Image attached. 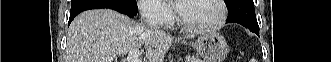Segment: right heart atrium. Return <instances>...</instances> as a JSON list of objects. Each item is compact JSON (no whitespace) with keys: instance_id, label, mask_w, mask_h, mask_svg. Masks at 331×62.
Wrapping results in <instances>:
<instances>
[{"instance_id":"right-heart-atrium-1","label":"right heart atrium","mask_w":331,"mask_h":62,"mask_svg":"<svg viewBox=\"0 0 331 62\" xmlns=\"http://www.w3.org/2000/svg\"><path fill=\"white\" fill-rule=\"evenodd\" d=\"M138 8L142 16L163 26H169L173 20V12L162 0H140Z\"/></svg>"}]
</instances>
